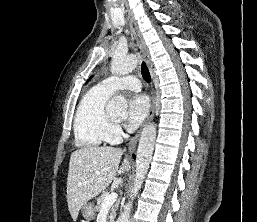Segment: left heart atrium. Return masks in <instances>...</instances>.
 Instances as JSON below:
<instances>
[{"mask_svg": "<svg viewBox=\"0 0 257 222\" xmlns=\"http://www.w3.org/2000/svg\"><path fill=\"white\" fill-rule=\"evenodd\" d=\"M149 111V101L145 95L133 96L128 104V115L126 128L129 131L135 130L146 118Z\"/></svg>", "mask_w": 257, "mask_h": 222, "instance_id": "obj_1", "label": "left heart atrium"}]
</instances>
